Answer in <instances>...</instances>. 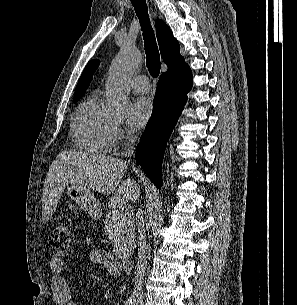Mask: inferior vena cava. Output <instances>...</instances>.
<instances>
[{"instance_id":"1","label":"inferior vena cava","mask_w":297,"mask_h":305,"mask_svg":"<svg viewBox=\"0 0 297 305\" xmlns=\"http://www.w3.org/2000/svg\"><path fill=\"white\" fill-rule=\"evenodd\" d=\"M129 142L128 146L133 144L134 137L132 134H129ZM136 222L138 225V233H139V241H138V252H137V266L135 272V281H134V289H133V300L135 303H139L143 305V291H142V280L145 275V269L147 266V246H146V234L144 228V217L143 210L141 208L138 209L136 213Z\"/></svg>"}]
</instances>
